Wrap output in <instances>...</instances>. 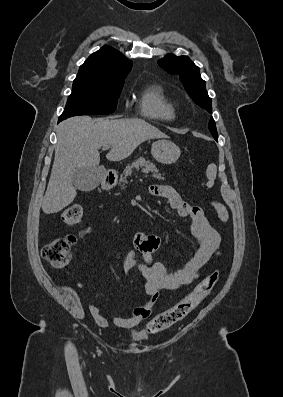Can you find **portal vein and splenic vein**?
I'll return each mask as SVG.
<instances>
[{
    "label": "portal vein and splenic vein",
    "instance_id": "18ae733b",
    "mask_svg": "<svg viewBox=\"0 0 283 397\" xmlns=\"http://www.w3.org/2000/svg\"><path fill=\"white\" fill-rule=\"evenodd\" d=\"M109 148H110L109 145H104V146H103V150H108Z\"/></svg>",
    "mask_w": 283,
    "mask_h": 397
}]
</instances>
